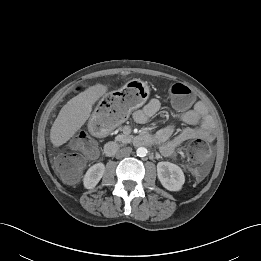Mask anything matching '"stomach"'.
I'll list each match as a JSON object with an SVG mask.
<instances>
[{
	"label": "stomach",
	"instance_id": "obj_1",
	"mask_svg": "<svg viewBox=\"0 0 261 261\" xmlns=\"http://www.w3.org/2000/svg\"><path fill=\"white\" fill-rule=\"evenodd\" d=\"M118 98L123 100L126 106V114L129 115L133 110L141 107L149 97V87L139 79L128 81L119 91ZM118 123L104 124L97 114H93L89 120L88 127L95 136L108 134Z\"/></svg>",
	"mask_w": 261,
	"mask_h": 261
}]
</instances>
